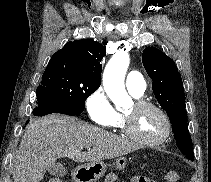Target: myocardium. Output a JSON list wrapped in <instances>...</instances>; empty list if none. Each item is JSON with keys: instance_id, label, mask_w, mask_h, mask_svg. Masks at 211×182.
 Returning <instances> with one entry per match:
<instances>
[{"instance_id": "1", "label": "myocardium", "mask_w": 211, "mask_h": 182, "mask_svg": "<svg viewBox=\"0 0 211 182\" xmlns=\"http://www.w3.org/2000/svg\"><path fill=\"white\" fill-rule=\"evenodd\" d=\"M134 106L136 109H144V108H152L154 110H156L160 116L162 117L163 121H164V131L163 133L154 140H145L143 138H141L137 133H135L134 128H133V122L132 119L125 114L123 119H124V131L125 133L134 141H136L137 143L141 144V145H145V146H158L163 144L170 136L171 131H172V124L170 121V118L168 116V114L166 113V111L158 104L151 102V101H147V100H142L139 99L134 103Z\"/></svg>"}]
</instances>
